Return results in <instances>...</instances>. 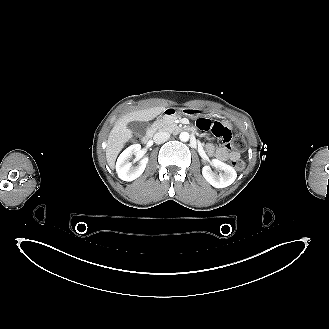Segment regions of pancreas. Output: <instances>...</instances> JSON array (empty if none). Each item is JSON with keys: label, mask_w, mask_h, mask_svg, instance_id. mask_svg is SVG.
Wrapping results in <instances>:
<instances>
[{"label": "pancreas", "mask_w": 329, "mask_h": 329, "mask_svg": "<svg viewBox=\"0 0 329 329\" xmlns=\"http://www.w3.org/2000/svg\"><path fill=\"white\" fill-rule=\"evenodd\" d=\"M177 117H163L160 119H157L153 123V127L157 128L159 131H168L170 133H177L179 131V128L177 124L175 123V120Z\"/></svg>", "instance_id": "cf45deb5"}]
</instances>
